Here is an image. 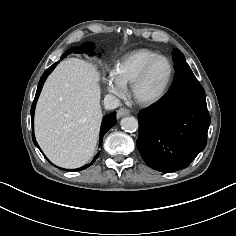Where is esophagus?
<instances>
[{
  "instance_id": "34e87169",
  "label": "esophagus",
  "mask_w": 236,
  "mask_h": 236,
  "mask_svg": "<svg viewBox=\"0 0 236 236\" xmlns=\"http://www.w3.org/2000/svg\"><path fill=\"white\" fill-rule=\"evenodd\" d=\"M129 114H130V111L128 109L121 108L117 111V118L119 119V118L129 115Z\"/></svg>"
}]
</instances>
